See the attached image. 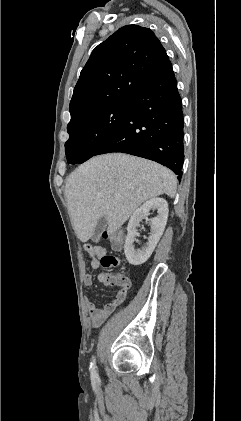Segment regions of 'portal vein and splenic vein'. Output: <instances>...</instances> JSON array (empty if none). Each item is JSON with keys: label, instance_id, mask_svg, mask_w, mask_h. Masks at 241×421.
<instances>
[{"label": "portal vein and splenic vein", "instance_id": "portal-vein-and-splenic-vein-1", "mask_svg": "<svg viewBox=\"0 0 241 421\" xmlns=\"http://www.w3.org/2000/svg\"><path fill=\"white\" fill-rule=\"evenodd\" d=\"M119 197V194H114V198H118Z\"/></svg>", "mask_w": 241, "mask_h": 421}]
</instances>
